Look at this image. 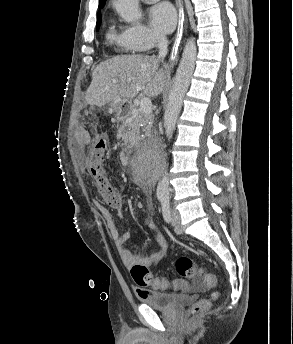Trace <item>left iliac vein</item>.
<instances>
[{
	"label": "left iliac vein",
	"instance_id": "1",
	"mask_svg": "<svg viewBox=\"0 0 293 344\" xmlns=\"http://www.w3.org/2000/svg\"><path fill=\"white\" fill-rule=\"evenodd\" d=\"M171 222L176 234H182L181 217L178 210L174 209L171 213Z\"/></svg>",
	"mask_w": 293,
	"mask_h": 344
}]
</instances>
